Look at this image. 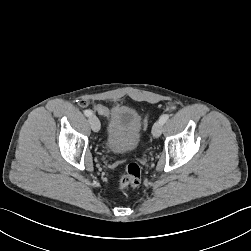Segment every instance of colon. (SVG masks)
<instances>
[{
    "label": "colon",
    "instance_id": "colon-1",
    "mask_svg": "<svg viewBox=\"0 0 251 251\" xmlns=\"http://www.w3.org/2000/svg\"><path fill=\"white\" fill-rule=\"evenodd\" d=\"M93 109L96 110L97 116H102L106 124H111L113 120V115L108 111V107L102 105L101 102H95L93 104ZM149 117L147 116L144 120V126L147 127ZM142 169L139 164L131 162L127 165L125 173L121 176L119 181V187L124 190L128 187L137 186L141 182Z\"/></svg>",
    "mask_w": 251,
    "mask_h": 251
}]
</instances>
